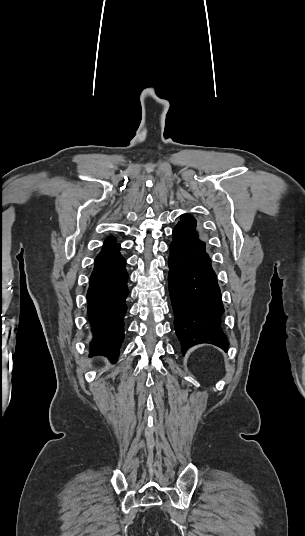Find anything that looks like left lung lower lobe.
I'll use <instances>...</instances> for the list:
<instances>
[{"instance_id":"0a47b994","label":"left lung lower lobe","mask_w":305,"mask_h":536,"mask_svg":"<svg viewBox=\"0 0 305 536\" xmlns=\"http://www.w3.org/2000/svg\"><path fill=\"white\" fill-rule=\"evenodd\" d=\"M168 265L174 325L182 353L202 343L227 351L228 342L220 327L222 297L205 243L196 233L175 227Z\"/></svg>"}]
</instances>
